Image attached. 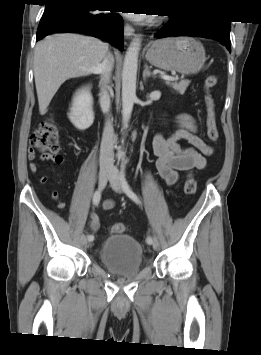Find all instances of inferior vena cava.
Returning <instances> with one entry per match:
<instances>
[{
    "label": "inferior vena cava",
    "instance_id": "inferior-vena-cava-1",
    "mask_svg": "<svg viewBox=\"0 0 261 355\" xmlns=\"http://www.w3.org/2000/svg\"><path fill=\"white\" fill-rule=\"evenodd\" d=\"M113 57L111 54H108L104 57L103 62L99 66V73L101 75L100 86V106L102 112L106 115L110 111V95L106 89V86L110 83L111 72L113 68ZM113 149H114V130L112 121L110 118L106 119L102 141L100 147V168L101 169H113Z\"/></svg>",
    "mask_w": 261,
    "mask_h": 355
}]
</instances>
